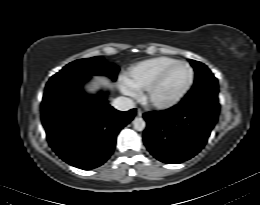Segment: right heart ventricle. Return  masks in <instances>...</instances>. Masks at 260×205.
Instances as JSON below:
<instances>
[{
    "instance_id": "obj_1",
    "label": "right heart ventricle",
    "mask_w": 260,
    "mask_h": 205,
    "mask_svg": "<svg viewBox=\"0 0 260 205\" xmlns=\"http://www.w3.org/2000/svg\"><path fill=\"white\" fill-rule=\"evenodd\" d=\"M175 61L177 59L169 56L141 61L127 72L124 82L135 91L143 90L162 69Z\"/></svg>"
}]
</instances>
